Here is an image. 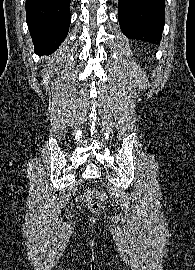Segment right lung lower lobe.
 Listing matches in <instances>:
<instances>
[{
	"mask_svg": "<svg viewBox=\"0 0 195 270\" xmlns=\"http://www.w3.org/2000/svg\"><path fill=\"white\" fill-rule=\"evenodd\" d=\"M71 0H26V21L36 54L57 50L70 26Z\"/></svg>",
	"mask_w": 195,
	"mask_h": 270,
	"instance_id": "1",
	"label": "right lung lower lobe"
}]
</instances>
